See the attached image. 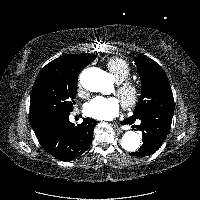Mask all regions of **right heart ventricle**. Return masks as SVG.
Listing matches in <instances>:
<instances>
[{"label":"right heart ventricle","mask_w":200,"mask_h":200,"mask_svg":"<svg viewBox=\"0 0 200 200\" xmlns=\"http://www.w3.org/2000/svg\"><path fill=\"white\" fill-rule=\"evenodd\" d=\"M106 65L117 83L128 80L132 75L129 62L123 58H110Z\"/></svg>","instance_id":"1"}]
</instances>
